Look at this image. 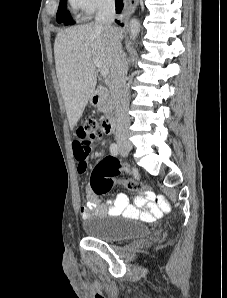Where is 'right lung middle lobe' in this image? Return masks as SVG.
I'll use <instances>...</instances> for the list:
<instances>
[{
    "instance_id": "dd1d6c3e",
    "label": "right lung middle lobe",
    "mask_w": 227,
    "mask_h": 298,
    "mask_svg": "<svg viewBox=\"0 0 227 298\" xmlns=\"http://www.w3.org/2000/svg\"><path fill=\"white\" fill-rule=\"evenodd\" d=\"M57 22H64L65 25L74 24L70 14L67 11V0H60L59 9L57 12Z\"/></svg>"
}]
</instances>
